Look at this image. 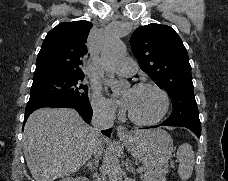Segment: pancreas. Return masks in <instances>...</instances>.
I'll return each mask as SVG.
<instances>
[{
  "mask_svg": "<svg viewBox=\"0 0 228 181\" xmlns=\"http://www.w3.org/2000/svg\"><path fill=\"white\" fill-rule=\"evenodd\" d=\"M142 170L144 173V175H142L143 181H148V179H153V181H155L154 177H149L148 169H146V167H142ZM158 181H166V179L165 177H159Z\"/></svg>",
  "mask_w": 228,
  "mask_h": 181,
  "instance_id": "obj_1",
  "label": "pancreas"
}]
</instances>
